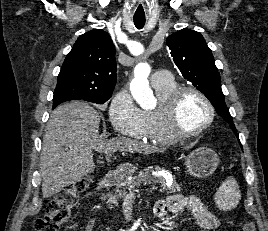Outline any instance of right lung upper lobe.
I'll return each instance as SVG.
<instances>
[{"mask_svg":"<svg viewBox=\"0 0 268 231\" xmlns=\"http://www.w3.org/2000/svg\"><path fill=\"white\" fill-rule=\"evenodd\" d=\"M116 84L115 47L107 32L93 29L81 35L67 54L55 92L68 100L111 97Z\"/></svg>","mask_w":268,"mask_h":231,"instance_id":"1","label":"right lung upper lobe"}]
</instances>
